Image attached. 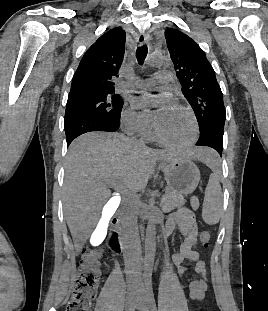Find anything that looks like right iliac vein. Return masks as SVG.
<instances>
[{"mask_svg": "<svg viewBox=\"0 0 268 311\" xmlns=\"http://www.w3.org/2000/svg\"><path fill=\"white\" fill-rule=\"evenodd\" d=\"M138 291L135 288H131L127 292L125 301V311H133Z\"/></svg>", "mask_w": 268, "mask_h": 311, "instance_id": "right-iliac-vein-1", "label": "right iliac vein"}]
</instances>
